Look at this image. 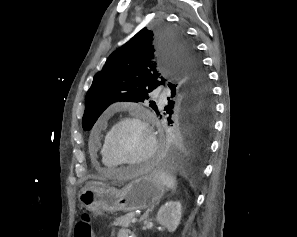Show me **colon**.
<instances>
[{"instance_id":"1","label":"colon","mask_w":297,"mask_h":237,"mask_svg":"<svg viewBox=\"0 0 297 237\" xmlns=\"http://www.w3.org/2000/svg\"><path fill=\"white\" fill-rule=\"evenodd\" d=\"M75 237H94L93 228L87 215H83L75 225Z\"/></svg>"}]
</instances>
